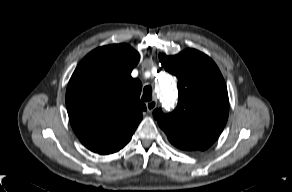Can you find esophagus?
Instances as JSON below:
<instances>
[{"instance_id":"34e87169","label":"esophagus","mask_w":292,"mask_h":192,"mask_svg":"<svg viewBox=\"0 0 292 192\" xmlns=\"http://www.w3.org/2000/svg\"><path fill=\"white\" fill-rule=\"evenodd\" d=\"M157 106V101L152 100L146 103L147 111L152 112Z\"/></svg>"}]
</instances>
